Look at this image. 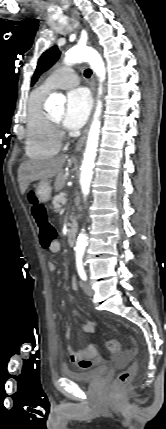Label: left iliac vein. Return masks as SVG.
I'll return each mask as SVG.
<instances>
[{
    "instance_id": "left-iliac-vein-1",
    "label": "left iliac vein",
    "mask_w": 166,
    "mask_h": 429,
    "mask_svg": "<svg viewBox=\"0 0 166 429\" xmlns=\"http://www.w3.org/2000/svg\"><path fill=\"white\" fill-rule=\"evenodd\" d=\"M81 287L83 289V291L88 295V296H92L94 294V291L91 287V285L88 282H82L81 283Z\"/></svg>"
}]
</instances>
